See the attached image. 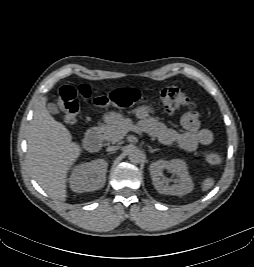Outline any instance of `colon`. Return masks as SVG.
Segmentation results:
<instances>
[{
  "label": "colon",
  "mask_w": 254,
  "mask_h": 267,
  "mask_svg": "<svg viewBox=\"0 0 254 267\" xmlns=\"http://www.w3.org/2000/svg\"><path fill=\"white\" fill-rule=\"evenodd\" d=\"M79 95L90 98L92 96L90 86L86 84L78 87L65 85L58 93L57 102L63 113L64 121L68 124H74L77 121L80 112ZM145 100L146 98L138 90L127 88L117 89L108 95L93 97V103L101 109L131 108ZM158 104L166 113H175L194 106L192 100L174 86L161 90ZM204 161L211 167H218L222 163V156L216 151H208L204 154Z\"/></svg>",
  "instance_id": "1"
}]
</instances>
